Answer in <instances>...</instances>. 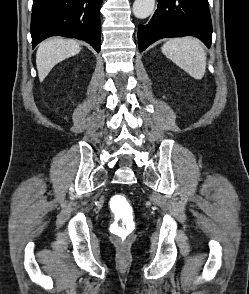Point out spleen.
I'll return each mask as SVG.
<instances>
[{"mask_svg":"<svg viewBox=\"0 0 249 294\" xmlns=\"http://www.w3.org/2000/svg\"><path fill=\"white\" fill-rule=\"evenodd\" d=\"M162 53L194 79L206 72V53L202 43L193 37L171 39L162 46Z\"/></svg>","mask_w":249,"mask_h":294,"instance_id":"1","label":"spleen"}]
</instances>
